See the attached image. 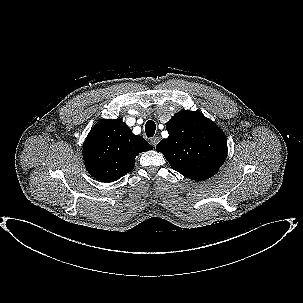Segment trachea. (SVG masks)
<instances>
[{
	"mask_svg": "<svg viewBox=\"0 0 303 303\" xmlns=\"http://www.w3.org/2000/svg\"><path fill=\"white\" fill-rule=\"evenodd\" d=\"M156 125L152 120H149L145 124V132L147 137H152L155 134Z\"/></svg>",
	"mask_w": 303,
	"mask_h": 303,
	"instance_id": "3493384b",
	"label": "trachea"
}]
</instances>
